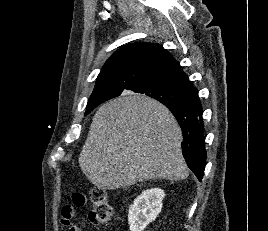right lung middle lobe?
<instances>
[{
	"instance_id": "obj_1",
	"label": "right lung middle lobe",
	"mask_w": 268,
	"mask_h": 231,
	"mask_svg": "<svg viewBox=\"0 0 268 231\" xmlns=\"http://www.w3.org/2000/svg\"><path fill=\"white\" fill-rule=\"evenodd\" d=\"M123 90V88H107L102 91L101 97L106 98L112 95H119ZM128 90L153 97L161 103L162 101H169L171 103L188 104L194 98V95L188 91L181 90L166 83L150 80L139 82ZM100 104L101 103L87 104L85 115L89 114Z\"/></svg>"
}]
</instances>
